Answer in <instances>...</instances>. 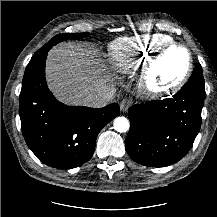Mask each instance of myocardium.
<instances>
[{
	"label": "myocardium",
	"mask_w": 217,
	"mask_h": 217,
	"mask_svg": "<svg viewBox=\"0 0 217 217\" xmlns=\"http://www.w3.org/2000/svg\"><path fill=\"white\" fill-rule=\"evenodd\" d=\"M183 50L188 57L184 72L170 85L159 88L152 82V75L163 56L171 50ZM193 71V56L190 49L180 43H169L156 50L151 58L145 63L138 80V88L141 93L150 98H162L174 94L180 90L189 79Z\"/></svg>",
	"instance_id": "obj_1"
}]
</instances>
